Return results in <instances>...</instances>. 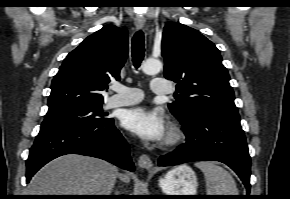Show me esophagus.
<instances>
[{"label":"esophagus","instance_id":"1","mask_svg":"<svg viewBox=\"0 0 290 199\" xmlns=\"http://www.w3.org/2000/svg\"><path fill=\"white\" fill-rule=\"evenodd\" d=\"M134 23L137 29H142L145 25V20L141 16H136ZM138 165L140 168L145 170H151L153 168V163L147 154H142L138 159Z\"/></svg>","mask_w":290,"mask_h":199}]
</instances>
